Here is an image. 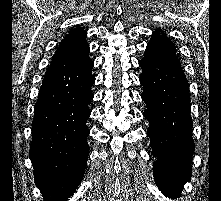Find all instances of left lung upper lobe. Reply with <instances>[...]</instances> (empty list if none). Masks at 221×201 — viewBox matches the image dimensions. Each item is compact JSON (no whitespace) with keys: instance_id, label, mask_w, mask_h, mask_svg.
<instances>
[{"instance_id":"obj_1","label":"left lung upper lobe","mask_w":221,"mask_h":201,"mask_svg":"<svg viewBox=\"0 0 221 201\" xmlns=\"http://www.w3.org/2000/svg\"><path fill=\"white\" fill-rule=\"evenodd\" d=\"M145 56L169 65L181 67L180 61L176 56V46L161 30L154 31L146 47Z\"/></svg>"}]
</instances>
